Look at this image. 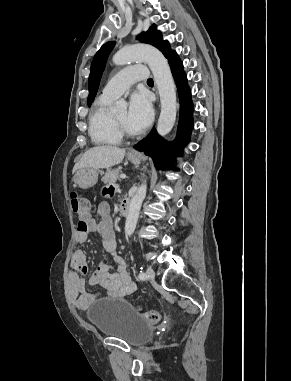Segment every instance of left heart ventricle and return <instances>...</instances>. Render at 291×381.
Masks as SVG:
<instances>
[{
	"label": "left heart ventricle",
	"mask_w": 291,
	"mask_h": 381,
	"mask_svg": "<svg viewBox=\"0 0 291 381\" xmlns=\"http://www.w3.org/2000/svg\"><path fill=\"white\" fill-rule=\"evenodd\" d=\"M115 117L117 118V120L131 133H137L135 132L129 125V122H128V112L127 110H123L121 112H119L118 114L115 115Z\"/></svg>",
	"instance_id": "1"
}]
</instances>
